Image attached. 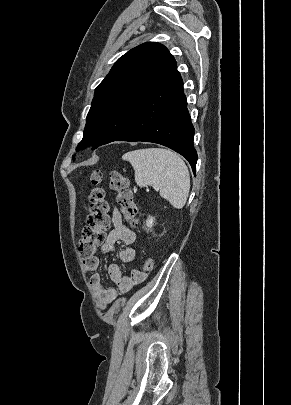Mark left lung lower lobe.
Listing matches in <instances>:
<instances>
[{
	"label": "left lung lower lobe",
	"mask_w": 291,
	"mask_h": 405,
	"mask_svg": "<svg viewBox=\"0 0 291 405\" xmlns=\"http://www.w3.org/2000/svg\"><path fill=\"white\" fill-rule=\"evenodd\" d=\"M193 136L183 81L174 62L143 97L129 127L115 141L164 145L185 157L195 173Z\"/></svg>",
	"instance_id": "left-lung-lower-lobe-1"
}]
</instances>
